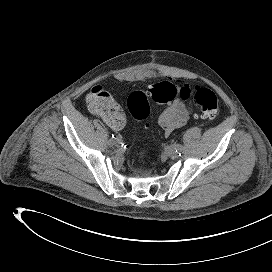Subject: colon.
<instances>
[{"mask_svg": "<svg viewBox=\"0 0 272 272\" xmlns=\"http://www.w3.org/2000/svg\"><path fill=\"white\" fill-rule=\"evenodd\" d=\"M111 96L102 87L96 86L88 95L87 102L92 111L104 114L110 106ZM179 98L183 102L191 101L195 108L205 118H215L220 110L216 94L204 86L183 85L179 89L169 81H162L152 85L146 91H134L127 100L130 114L139 121H144L149 116V102L168 104ZM150 156L148 149H142L139 157L146 162Z\"/></svg>", "mask_w": 272, "mask_h": 272, "instance_id": "1", "label": "colon"}]
</instances>
